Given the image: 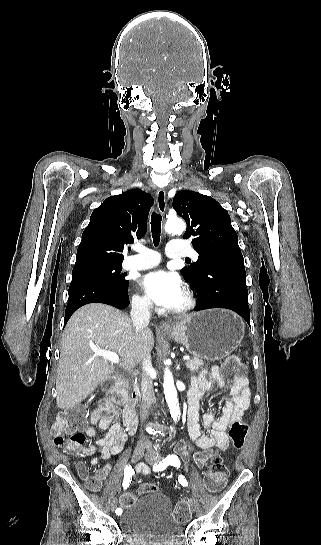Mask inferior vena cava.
I'll list each match as a JSON object with an SVG mask.
<instances>
[{"label":"inferior vena cava","instance_id":"obj_1","mask_svg":"<svg viewBox=\"0 0 321 545\" xmlns=\"http://www.w3.org/2000/svg\"><path fill=\"white\" fill-rule=\"evenodd\" d=\"M151 307L152 303L150 299H134V301H132V311L130 315L133 327H136L137 331L142 329V327H147V325H149ZM141 365L143 379L141 383L142 401L140 407V421L143 423V421L148 419L150 407L156 403L152 385L153 381L151 377H149V371L152 369L151 357L149 353H147L145 359H142ZM137 448L139 450H149L151 448V442L148 441L146 437H142L141 435L137 443Z\"/></svg>","mask_w":321,"mask_h":545}]
</instances>
